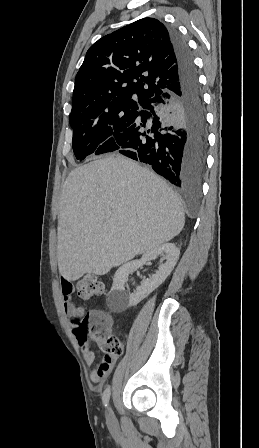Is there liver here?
I'll use <instances>...</instances> for the list:
<instances>
[{"instance_id": "liver-1", "label": "liver", "mask_w": 259, "mask_h": 448, "mask_svg": "<svg viewBox=\"0 0 259 448\" xmlns=\"http://www.w3.org/2000/svg\"><path fill=\"white\" fill-rule=\"evenodd\" d=\"M184 224L179 198L156 174L125 156L97 158L75 168L63 186L59 272L70 282L84 274L104 276L169 242Z\"/></svg>"}]
</instances>
